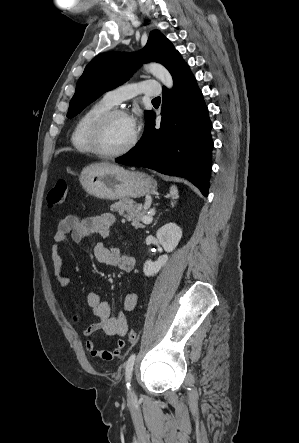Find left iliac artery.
Returning a JSON list of instances; mask_svg holds the SVG:
<instances>
[{
	"label": "left iliac artery",
	"instance_id": "44dca946",
	"mask_svg": "<svg viewBox=\"0 0 299 443\" xmlns=\"http://www.w3.org/2000/svg\"><path fill=\"white\" fill-rule=\"evenodd\" d=\"M135 358H136V354H132L127 362H126V369H125V377H126V381H127V387L129 388L130 386V379L132 377V372H133V366H134V362H135Z\"/></svg>",
	"mask_w": 299,
	"mask_h": 443
}]
</instances>
